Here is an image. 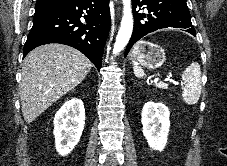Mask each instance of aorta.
<instances>
[{
	"instance_id": "762f6f07",
	"label": "aorta",
	"mask_w": 227,
	"mask_h": 166,
	"mask_svg": "<svg viewBox=\"0 0 227 166\" xmlns=\"http://www.w3.org/2000/svg\"><path fill=\"white\" fill-rule=\"evenodd\" d=\"M122 2H123V17L114 44L113 54H118L124 49V47L127 45L131 37L133 30L131 0H122Z\"/></svg>"
}]
</instances>
